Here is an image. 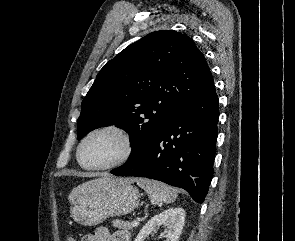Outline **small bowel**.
<instances>
[{"label": "small bowel", "mask_w": 295, "mask_h": 241, "mask_svg": "<svg viewBox=\"0 0 295 241\" xmlns=\"http://www.w3.org/2000/svg\"><path fill=\"white\" fill-rule=\"evenodd\" d=\"M83 241H130V238L125 231L110 233L107 228L99 227L93 234L85 236Z\"/></svg>", "instance_id": "small-bowel-1"}]
</instances>
